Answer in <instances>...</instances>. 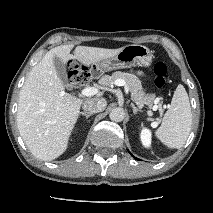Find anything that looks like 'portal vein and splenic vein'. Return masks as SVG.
Wrapping results in <instances>:
<instances>
[{"label":"portal vein and splenic vein","instance_id":"1","mask_svg":"<svg viewBox=\"0 0 213 213\" xmlns=\"http://www.w3.org/2000/svg\"><path fill=\"white\" fill-rule=\"evenodd\" d=\"M114 84L116 86H123L125 93L126 94L129 93V88H128L127 83H126L125 80H123V79H117V80H115ZM97 93H99V91L95 87H86V88H84V89L81 90V95H83V96H93V95H95ZM152 109H153V111H156L158 109V106L155 105V106H153ZM148 115L151 116L152 112L148 111Z\"/></svg>","mask_w":213,"mask_h":213}]
</instances>
